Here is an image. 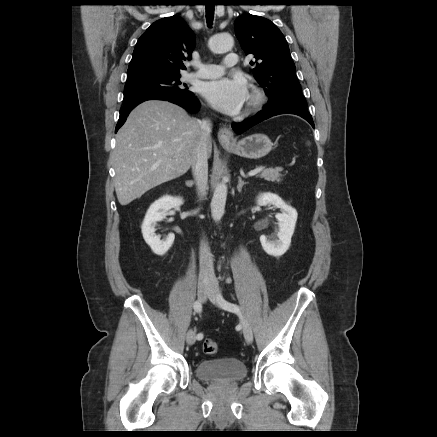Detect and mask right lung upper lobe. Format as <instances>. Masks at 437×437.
Masks as SVG:
<instances>
[{"mask_svg": "<svg viewBox=\"0 0 437 437\" xmlns=\"http://www.w3.org/2000/svg\"><path fill=\"white\" fill-rule=\"evenodd\" d=\"M194 45L195 35L181 17L162 18L138 39L127 74L180 73L185 69L183 61L191 57Z\"/></svg>", "mask_w": 437, "mask_h": 437, "instance_id": "obj_1", "label": "right lung upper lobe"}]
</instances>
